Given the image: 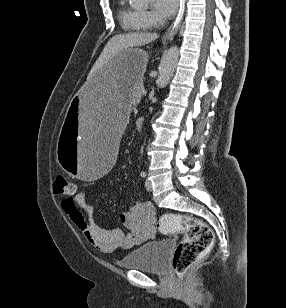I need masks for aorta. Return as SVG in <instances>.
<instances>
[{"mask_svg":"<svg viewBox=\"0 0 286 308\" xmlns=\"http://www.w3.org/2000/svg\"><path fill=\"white\" fill-rule=\"evenodd\" d=\"M135 3H147L149 0H133ZM179 48L177 46H172L162 57L160 67H159V75L156 80V84L158 88H163L167 85L169 80L171 79L174 70L177 66V62L179 59Z\"/></svg>","mask_w":286,"mask_h":308,"instance_id":"762f6f07","label":"aorta"}]
</instances>
